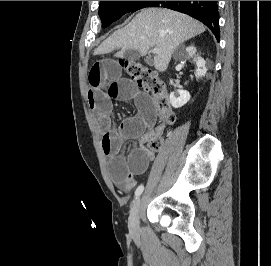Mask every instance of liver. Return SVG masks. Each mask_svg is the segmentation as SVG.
<instances>
[{"label": "liver", "instance_id": "6515ba94", "mask_svg": "<svg viewBox=\"0 0 271 266\" xmlns=\"http://www.w3.org/2000/svg\"><path fill=\"white\" fill-rule=\"evenodd\" d=\"M205 27L185 14L166 8L141 10L124 28L115 31L95 51L94 55L108 54L121 49L116 57H124L126 50L138 51L145 56L150 48L156 47L154 67L164 72L177 46L201 34Z\"/></svg>", "mask_w": 271, "mask_h": 266}]
</instances>
